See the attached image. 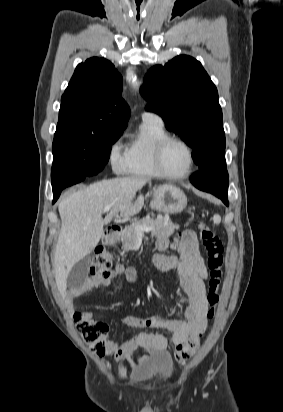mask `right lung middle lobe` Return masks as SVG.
Segmentation results:
<instances>
[{"label": "right lung middle lobe", "mask_w": 283, "mask_h": 412, "mask_svg": "<svg viewBox=\"0 0 283 412\" xmlns=\"http://www.w3.org/2000/svg\"><path fill=\"white\" fill-rule=\"evenodd\" d=\"M121 132L97 133L75 119L58 120L53 141L52 180L86 174L107 163Z\"/></svg>", "instance_id": "right-lung-middle-lobe-1"}]
</instances>
